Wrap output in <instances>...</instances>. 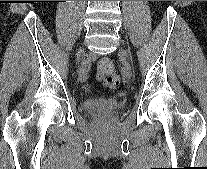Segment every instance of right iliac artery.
I'll list each match as a JSON object with an SVG mask.
<instances>
[{"label":"right iliac artery","instance_id":"right-iliac-artery-1","mask_svg":"<svg viewBox=\"0 0 207 169\" xmlns=\"http://www.w3.org/2000/svg\"><path fill=\"white\" fill-rule=\"evenodd\" d=\"M81 72H82V73L87 72V64H86L85 62H84L83 65H82Z\"/></svg>","mask_w":207,"mask_h":169}]
</instances>
